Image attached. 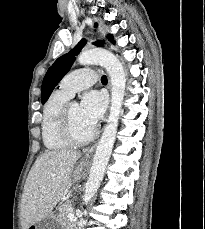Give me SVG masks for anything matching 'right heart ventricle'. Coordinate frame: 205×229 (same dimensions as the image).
Instances as JSON below:
<instances>
[{"instance_id": "obj_1", "label": "right heart ventricle", "mask_w": 205, "mask_h": 229, "mask_svg": "<svg viewBox=\"0 0 205 229\" xmlns=\"http://www.w3.org/2000/svg\"><path fill=\"white\" fill-rule=\"evenodd\" d=\"M70 97L59 89L54 91L44 104L42 117V139L45 147L58 151L70 145L59 134V118L63 106Z\"/></svg>"}]
</instances>
